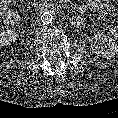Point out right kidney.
I'll list each match as a JSON object with an SVG mask.
<instances>
[{"mask_svg":"<svg viewBox=\"0 0 118 118\" xmlns=\"http://www.w3.org/2000/svg\"><path fill=\"white\" fill-rule=\"evenodd\" d=\"M18 38V34L13 30H5L0 32V45L7 46L12 42H15Z\"/></svg>","mask_w":118,"mask_h":118,"instance_id":"ca27d5eb","label":"right kidney"}]
</instances>
